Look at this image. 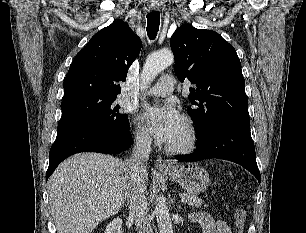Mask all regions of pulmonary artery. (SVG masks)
<instances>
[{
	"label": "pulmonary artery",
	"mask_w": 306,
	"mask_h": 233,
	"mask_svg": "<svg viewBox=\"0 0 306 233\" xmlns=\"http://www.w3.org/2000/svg\"><path fill=\"white\" fill-rule=\"evenodd\" d=\"M173 76L166 75L160 78L159 82L145 91V95L152 97H164L172 93L175 88Z\"/></svg>",
	"instance_id": "e3ab8cb5"
}]
</instances>
